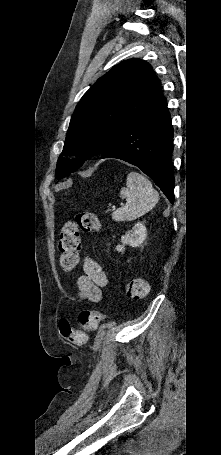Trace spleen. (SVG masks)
I'll return each instance as SVG.
<instances>
[{
	"label": "spleen",
	"mask_w": 221,
	"mask_h": 455,
	"mask_svg": "<svg viewBox=\"0 0 221 455\" xmlns=\"http://www.w3.org/2000/svg\"><path fill=\"white\" fill-rule=\"evenodd\" d=\"M126 186L120 191V197L126 198L125 206L112 213V219L117 222L136 220L149 212L159 200L152 183L137 172L127 175Z\"/></svg>",
	"instance_id": "obj_1"
}]
</instances>
